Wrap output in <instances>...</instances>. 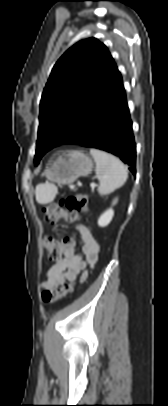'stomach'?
<instances>
[{"label":"stomach","mask_w":168,"mask_h":406,"mask_svg":"<svg viewBox=\"0 0 168 406\" xmlns=\"http://www.w3.org/2000/svg\"><path fill=\"white\" fill-rule=\"evenodd\" d=\"M93 160L82 151H64L52 160L46 168V178L57 184H71L80 176H87L93 170Z\"/></svg>","instance_id":"1"}]
</instances>
